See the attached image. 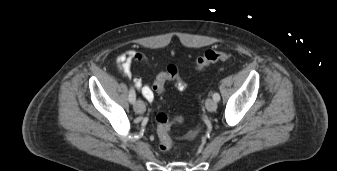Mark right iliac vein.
I'll use <instances>...</instances> for the list:
<instances>
[{"mask_svg":"<svg viewBox=\"0 0 337 171\" xmlns=\"http://www.w3.org/2000/svg\"><path fill=\"white\" fill-rule=\"evenodd\" d=\"M134 111L138 114H143L146 111L145 104L142 100H137L133 105Z\"/></svg>","mask_w":337,"mask_h":171,"instance_id":"1","label":"right iliac vein"}]
</instances>
